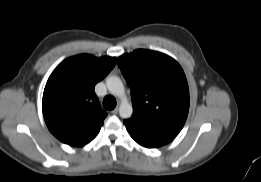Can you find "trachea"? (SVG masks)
I'll use <instances>...</instances> for the list:
<instances>
[{"instance_id":"obj_1","label":"trachea","mask_w":261,"mask_h":182,"mask_svg":"<svg viewBox=\"0 0 261 182\" xmlns=\"http://www.w3.org/2000/svg\"><path fill=\"white\" fill-rule=\"evenodd\" d=\"M103 106L107 110H112L116 106V100L113 96L107 95L103 100Z\"/></svg>"}]
</instances>
